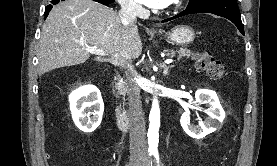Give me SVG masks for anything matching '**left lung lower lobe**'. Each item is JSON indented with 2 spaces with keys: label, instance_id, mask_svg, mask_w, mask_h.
Instances as JSON below:
<instances>
[{
  "label": "left lung lower lobe",
  "instance_id": "0a47b994",
  "mask_svg": "<svg viewBox=\"0 0 277 166\" xmlns=\"http://www.w3.org/2000/svg\"><path fill=\"white\" fill-rule=\"evenodd\" d=\"M194 13H212L228 20L232 21L239 29V31L244 35L243 24L241 22V15L238 9L237 2H230L225 0H214L200 4L192 8H186L178 15L165 19L162 22H167L188 14Z\"/></svg>",
  "mask_w": 277,
  "mask_h": 166
}]
</instances>
